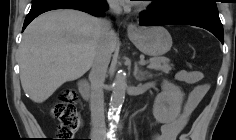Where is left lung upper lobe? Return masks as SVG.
I'll list each match as a JSON object with an SVG mask.
<instances>
[{
  "instance_id": "1",
  "label": "left lung upper lobe",
  "mask_w": 236,
  "mask_h": 140,
  "mask_svg": "<svg viewBox=\"0 0 236 140\" xmlns=\"http://www.w3.org/2000/svg\"><path fill=\"white\" fill-rule=\"evenodd\" d=\"M154 6H161L164 10H175L179 8H195L218 12L216 0H156Z\"/></svg>"
}]
</instances>
